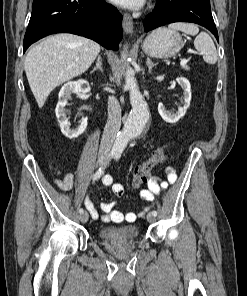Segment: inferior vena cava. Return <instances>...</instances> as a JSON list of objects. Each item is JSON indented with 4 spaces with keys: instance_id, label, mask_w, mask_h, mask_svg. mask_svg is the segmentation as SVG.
Wrapping results in <instances>:
<instances>
[{
    "instance_id": "1",
    "label": "inferior vena cava",
    "mask_w": 247,
    "mask_h": 296,
    "mask_svg": "<svg viewBox=\"0 0 247 296\" xmlns=\"http://www.w3.org/2000/svg\"><path fill=\"white\" fill-rule=\"evenodd\" d=\"M121 126V108L118 100L114 96L108 98V120L105 125L100 152H109L116 139V135Z\"/></svg>"
}]
</instances>
